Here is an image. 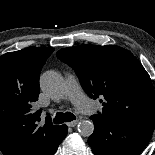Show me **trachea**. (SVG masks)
<instances>
[{"mask_svg":"<svg viewBox=\"0 0 155 155\" xmlns=\"http://www.w3.org/2000/svg\"><path fill=\"white\" fill-rule=\"evenodd\" d=\"M76 117L73 113L70 112H66V113H62V112H57L56 116L54 118V123L55 124H62L64 122H70L75 120Z\"/></svg>","mask_w":155,"mask_h":155,"instance_id":"3493384b","label":"trachea"}]
</instances>
